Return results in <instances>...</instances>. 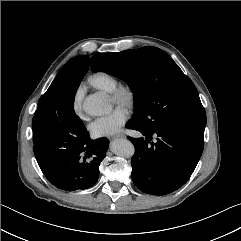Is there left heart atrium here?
I'll return each mask as SVG.
<instances>
[{
    "label": "left heart atrium",
    "instance_id": "obj_1",
    "mask_svg": "<svg viewBox=\"0 0 241 241\" xmlns=\"http://www.w3.org/2000/svg\"><path fill=\"white\" fill-rule=\"evenodd\" d=\"M127 118V111L123 107L118 106L110 114L95 119L90 124V133L97 138L114 135L119 132Z\"/></svg>",
    "mask_w": 241,
    "mask_h": 241
}]
</instances>
